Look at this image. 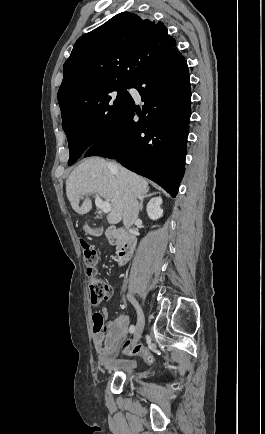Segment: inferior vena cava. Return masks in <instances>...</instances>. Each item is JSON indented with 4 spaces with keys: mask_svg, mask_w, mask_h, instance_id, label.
Returning <instances> with one entry per match:
<instances>
[{
    "mask_svg": "<svg viewBox=\"0 0 265 434\" xmlns=\"http://www.w3.org/2000/svg\"><path fill=\"white\" fill-rule=\"evenodd\" d=\"M115 168V166H113ZM120 182L121 190H128V184L126 180H124L122 174L118 176ZM139 214V204L137 202V196H134L132 192H127V196L124 202V210H123V224L126 228H130L132 224H134L135 220H137Z\"/></svg>",
    "mask_w": 265,
    "mask_h": 434,
    "instance_id": "inferior-vena-cava-1",
    "label": "inferior vena cava"
}]
</instances>
